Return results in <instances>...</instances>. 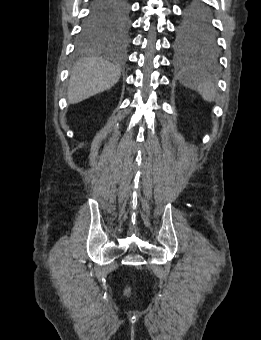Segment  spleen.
<instances>
[{
    "instance_id": "spleen-1",
    "label": "spleen",
    "mask_w": 261,
    "mask_h": 340,
    "mask_svg": "<svg viewBox=\"0 0 261 340\" xmlns=\"http://www.w3.org/2000/svg\"><path fill=\"white\" fill-rule=\"evenodd\" d=\"M182 83L196 90L207 102H213L217 95V90L211 81L203 77L202 72L197 68H190L184 72Z\"/></svg>"
}]
</instances>
